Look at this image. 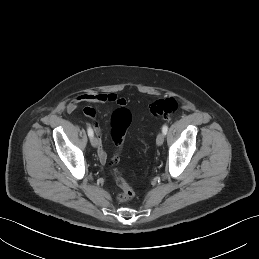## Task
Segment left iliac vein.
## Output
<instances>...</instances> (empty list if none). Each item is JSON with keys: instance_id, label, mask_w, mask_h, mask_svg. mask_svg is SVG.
<instances>
[{"instance_id": "left-iliac-vein-1", "label": "left iliac vein", "mask_w": 259, "mask_h": 259, "mask_svg": "<svg viewBox=\"0 0 259 259\" xmlns=\"http://www.w3.org/2000/svg\"><path fill=\"white\" fill-rule=\"evenodd\" d=\"M164 138H165L164 134L163 133H159L157 135V138H156V144L158 146H161L163 144V142H164Z\"/></svg>"}]
</instances>
